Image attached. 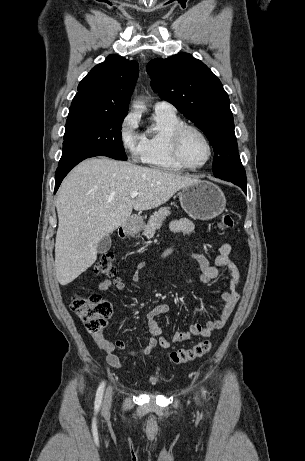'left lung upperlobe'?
Segmentation results:
<instances>
[{
    "mask_svg": "<svg viewBox=\"0 0 305 461\" xmlns=\"http://www.w3.org/2000/svg\"><path fill=\"white\" fill-rule=\"evenodd\" d=\"M147 73L154 92L173 104L207 136L215 153L214 176L246 182L228 94L212 71L192 55L181 53L151 60Z\"/></svg>",
    "mask_w": 305,
    "mask_h": 461,
    "instance_id": "1",
    "label": "left lung upper lobe"
}]
</instances>
